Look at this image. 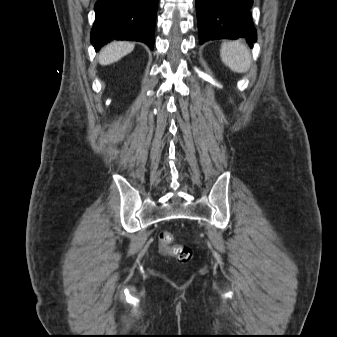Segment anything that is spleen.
<instances>
[{"label":"spleen","mask_w":337,"mask_h":337,"mask_svg":"<svg viewBox=\"0 0 337 337\" xmlns=\"http://www.w3.org/2000/svg\"><path fill=\"white\" fill-rule=\"evenodd\" d=\"M220 57L222 62L233 72L245 73L251 65L250 51L239 41L224 42L221 45Z\"/></svg>","instance_id":"obj_1"}]
</instances>
